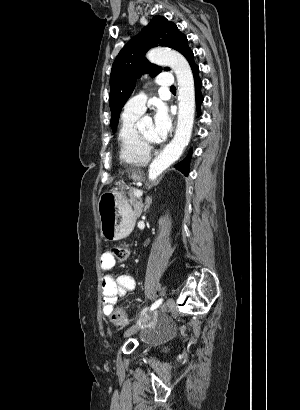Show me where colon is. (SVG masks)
I'll list each match as a JSON object with an SVG mask.
<instances>
[{
	"mask_svg": "<svg viewBox=\"0 0 300 410\" xmlns=\"http://www.w3.org/2000/svg\"><path fill=\"white\" fill-rule=\"evenodd\" d=\"M111 253L116 260L124 261L129 256V248L126 245H116L111 249ZM109 316L111 322L115 325L124 326L128 323V317L122 309L112 310Z\"/></svg>",
	"mask_w": 300,
	"mask_h": 410,
	"instance_id": "1",
	"label": "colon"
}]
</instances>
